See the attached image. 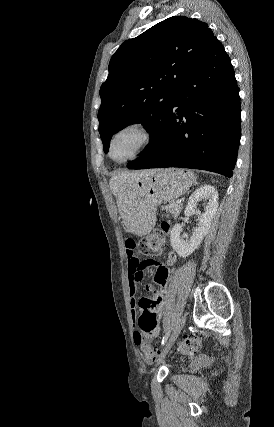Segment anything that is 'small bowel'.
I'll list each match as a JSON object with an SVG mask.
<instances>
[{
	"mask_svg": "<svg viewBox=\"0 0 274 427\" xmlns=\"http://www.w3.org/2000/svg\"><path fill=\"white\" fill-rule=\"evenodd\" d=\"M125 252L130 253L133 250L132 245L127 244L124 247ZM129 260L136 262L139 256L136 253L129 255ZM176 256L169 252L162 264H155L151 272V278L148 282V292L138 295L139 307L141 311L140 318H137L136 325L141 327V333L136 331L134 334L135 343L143 346L147 341L159 336L161 332V322L165 310L164 302L168 293L167 276L168 268L175 262ZM129 275V297L131 311L134 315L137 309V284L142 278L150 275V266L148 264H129L127 266ZM159 284V285H157Z\"/></svg>",
	"mask_w": 274,
	"mask_h": 427,
	"instance_id": "obj_1",
	"label": "small bowel"
}]
</instances>
